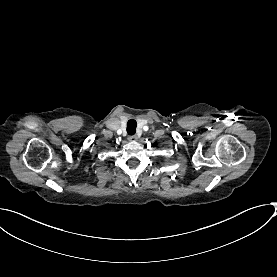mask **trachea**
I'll return each instance as SVG.
<instances>
[{"label": "trachea", "instance_id": "3493384b", "mask_svg": "<svg viewBox=\"0 0 277 277\" xmlns=\"http://www.w3.org/2000/svg\"><path fill=\"white\" fill-rule=\"evenodd\" d=\"M136 127H137V122L134 119H130L127 122V133H128V135H130V136L135 135Z\"/></svg>", "mask_w": 277, "mask_h": 277}]
</instances>
